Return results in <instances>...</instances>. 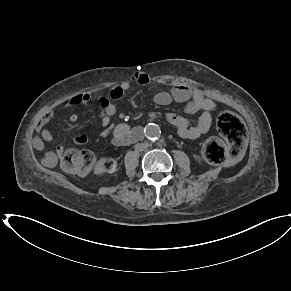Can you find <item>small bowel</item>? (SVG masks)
Wrapping results in <instances>:
<instances>
[{"mask_svg":"<svg viewBox=\"0 0 291 291\" xmlns=\"http://www.w3.org/2000/svg\"><path fill=\"white\" fill-rule=\"evenodd\" d=\"M132 82L140 86H145L150 82V78L147 74L138 72L132 76ZM130 87L131 83L129 81H123L113 86L107 96L99 98L100 111L98 117L104 128L110 127V120L117 112V106L113 101L123 98ZM90 99L91 95L89 93H80L71 97L63 106L69 107L85 104L89 102ZM153 101L160 106H166L172 101H178L185 103L184 110L188 114L197 111L202 112L194 124H191L187 118L174 113L166 115V119L177 128L178 134L182 138L195 139L206 134L210 130L212 123L211 113L215 109V104L212 100L206 98L200 90L186 85H176L170 91L157 92L153 97ZM54 114V110H49L37 123L36 130L38 135L33 138V146L38 150L44 148L45 142H51L53 140V135L47 128V124L53 118ZM78 118L77 113H72L69 116L71 122H76ZM130 132V127L124 123L117 124L112 128L114 138H124ZM87 140L88 137L86 135H80L75 137L74 142L83 144L87 142ZM64 151V146L58 145L54 153L49 152L45 155L43 162L46 165H52L57 158L63 155Z\"/></svg>","mask_w":291,"mask_h":291,"instance_id":"small-bowel-1","label":"small bowel"}]
</instances>
